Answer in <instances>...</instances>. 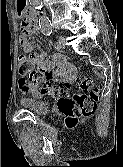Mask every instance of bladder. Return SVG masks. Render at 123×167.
<instances>
[{
  "label": "bladder",
  "mask_w": 123,
  "mask_h": 167,
  "mask_svg": "<svg viewBox=\"0 0 123 167\" xmlns=\"http://www.w3.org/2000/svg\"><path fill=\"white\" fill-rule=\"evenodd\" d=\"M21 104L28 110L39 116L45 115L49 110L47 103L42 100L23 98L21 100Z\"/></svg>",
  "instance_id": "31cf9c89"
}]
</instances>
